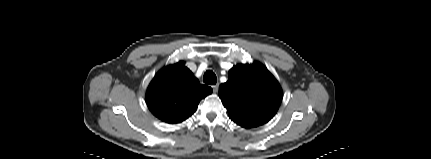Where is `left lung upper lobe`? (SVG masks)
Returning a JSON list of instances; mask_svg holds the SVG:
<instances>
[{"instance_id":"left-lung-upper-lobe-1","label":"left lung upper lobe","mask_w":431,"mask_h":159,"mask_svg":"<svg viewBox=\"0 0 431 159\" xmlns=\"http://www.w3.org/2000/svg\"><path fill=\"white\" fill-rule=\"evenodd\" d=\"M228 76L219 87V97L231 120L245 128L267 123L282 101L274 76L259 62L234 66Z\"/></svg>"}]
</instances>
